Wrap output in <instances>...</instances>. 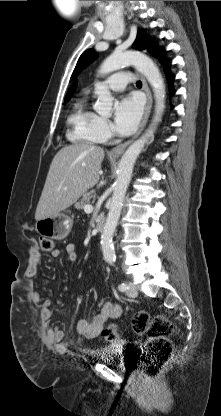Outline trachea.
<instances>
[{
	"label": "trachea",
	"mask_w": 221,
	"mask_h": 416,
	"mask_svg": "<svg viewBox=\"0 0 221 416\" xmlns=\"http://www.w3.org/2000/svg\"><path fill=\"white\" fill-rule=\"evenodd\" d=\"M137 87H141L142 86V82L141 81H137L136 82Z\"/></svg>",
	"instance_id": "obj_1"
}]
</instances>
